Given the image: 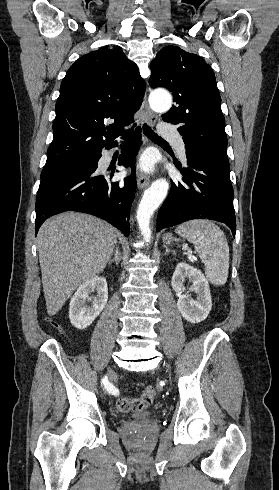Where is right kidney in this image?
Returning <instances> with one entry per match:
<instances>
[{"label": "right kidney", "instance_id": "obj_1", "mask_svg": "<svg viewBox=\"0 0 279 490\" xmlns=\"http://www.w3.org/2000/svg\"><path fill=\"white\" fill-rule=\"evenodd\" d=\"M91 292H96L92 306H86V300ZM108 300V286L102 276H93L81 284L69 304V318L72 326L78 330H85L99 316Z\"/></svg>", "mask_w": 279, "mask_h": 490}]
</instances>
